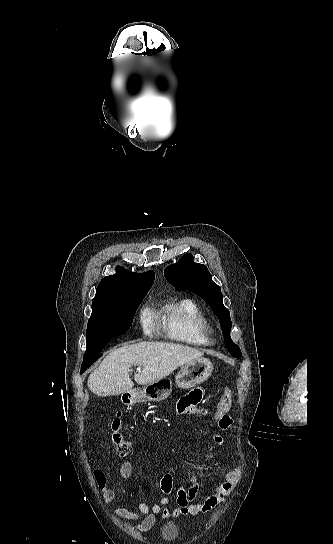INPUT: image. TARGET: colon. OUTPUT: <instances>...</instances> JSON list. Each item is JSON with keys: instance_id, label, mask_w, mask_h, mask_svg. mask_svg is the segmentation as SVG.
I'll return each instance as SVG.
<instances>
[{"instance_id": "5ec220e1", "label": "colon", "mask_w": 333, "mask_h": 544, "mask_svg": "<svg viewBox=\"0 0 333 544\" xmlns=\"http://www.w3.org/2000/svg\"><path fill=\"white\" fill-rule=\"evenodd\" d=\"M233 393L230 389H226L222 394L220 400L217 403L215 418L220 420L232 406ZM111 440L115 449V452L119 456H126L131 451V443L124 436L122 431V419L121 414L118 413L111 423ZM95 477L98 483L101 485L104 482V475L101 471H95Z\"/></svg>"}]
</instances>
